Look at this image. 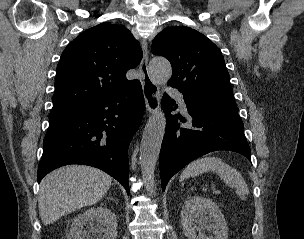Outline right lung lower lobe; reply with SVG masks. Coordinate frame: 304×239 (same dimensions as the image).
Listing matches in <instances>:
<instances>
[{
    "instance_id": "obj_1",
    "label": "right lung lower lobe",
    "mask_w": 304,
    "mask_h": 239,
    "mask_svg": "<svg viewBox=\"0 0 304 239\" xmlns=\"http://www.w3.org/2000/svg\"><path fill=\"white\" fill-rule=\"evenodd\" d=\"M144 110L138 80L76 112L50 118L37 180L68 164L99 168L129 194L128 146Z\"/></svg>"
}]
</instances>
